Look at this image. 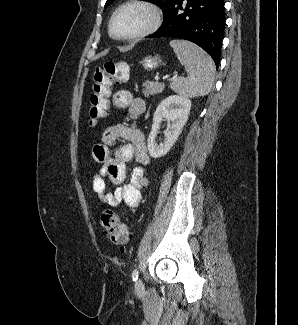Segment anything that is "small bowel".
Masks as SVG:
<instances>
[{
  "instance_id": "1",
  "label": "small bowel",
  "mask_w": 298,
  "mask_h": 325,
  "mask_svg": "<svg viewBox=\"0 0 298 325\" xmlns=\"http://www.w3.org/2000/svg\"><path fill=\"white\" fill-rule=\"evenodd\" d=\"M112 105L117 109H128L131 117L135 119L145 110L144 102L134 99L127 90L115 92L112 96ZM120 140L127 143L111 154L110 148ZM93 159L101 165L93 176V190L101 203L105 206L125 203L130 210H134L140 203L141 190L149 184L146 167L150 156L144 133L140 129L124 124L107 127L102 133V142L93 147ZM131 160L136 162V166L128 182H125V163ZM106 179L115 187L112 192L107 190Z\"/></svg>"
}]
</instances>
